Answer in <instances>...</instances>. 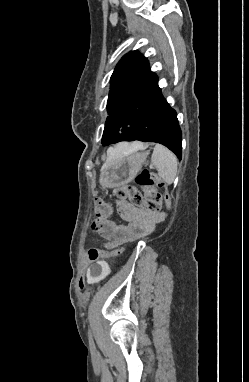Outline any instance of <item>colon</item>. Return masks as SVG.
<instances>
[{
	"label": "colon",
	"instance_id": "colon-1",
	"mask_svg": "<svg viewBox=\"0 0 249 382\" xmlns=\"http://www.w3.org/2000/svg\"><path fill=\"white\" fill-rule=\"evenodd\" d=\"M136 182L143 188V194L133 185H126L114 189V195L121 199H126L131 205L143 208L150 212H158L163 205V196L156 187L154 175L144 169L137 177ZM159 186L163 184L158 182ZM95 214L97 217H108L110 214V206L104 200L97 198L95 200ZM122 247L114 250H102L91 247L87 251L86 258L89 262H95L102 257H112L119 255Z\"/></svg>",
	"mask_w": 249,
	"mask_h": 382
}]
</instances>
